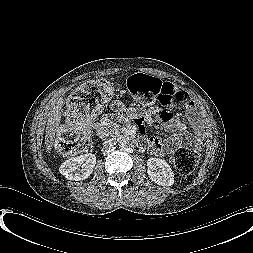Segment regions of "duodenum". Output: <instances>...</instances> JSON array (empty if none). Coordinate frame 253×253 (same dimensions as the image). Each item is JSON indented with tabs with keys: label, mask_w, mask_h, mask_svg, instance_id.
Wrapping results in <instances>:
<instances>
[{
	"label": "duodenum",
	"mask_w": 253,
	"mask_h": 253,
	"mask_svg": "<svg viewBox=\"0 0 253 253\" xmlns=\"http://www.w3.org/2000/svg\"><path fill=\"white\" fill-rule=\"evenodd\" d=\"M125 140H127L128 142H130V143H132V144H136V142L130 141V140H129V137L126 136V135H123V136L120 137V138H116V139H114V140H113L112 142H110V143L113 144V145H116V144H118V143H120V142H122V141H125Z\"/></svg>",
	"instance_id": "duodenum-1"
}]
</instances>
